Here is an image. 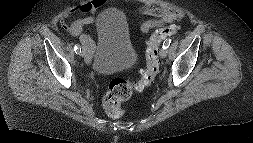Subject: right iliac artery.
Instances as JSON below:
<instances>
[{
	"label": "right iliac artery",
	"mask_w": 253,
	"mask_h": 143,
	"mask_svg": "<svg viewBox=\"0 0 253 143\" xmlns=\"http://www.w3.org/2000/svg\"><path fill=\"white\" fill-rule=\"evenodd\" d=\"M74 51H75L76 54H80L81 53V47L78 44H76L74 46Z\"/></svg>",
	"instance_id": "82829eb1"
}]
</instances>
